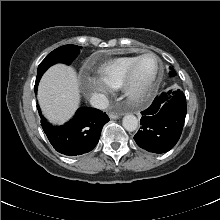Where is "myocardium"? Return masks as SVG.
I'll use <instances>...</instances> for the list:
<instances>
[{"label": "myocardium", "instance_id": "obj_1", "mask_svg": "<svg viewBox=\"0 0 220 220\" xmlns=\"http://www.w3.org/2000/svg\"><path fill=\"white\" fill-rule=\"evenodd\" d=\"M147 56H153L156 59L157 71H156L155 75L153 76V78L150 79L146 84H144L141 87H137L135 85L136 69H137V66L140 63V61ZM161 74H162V62H161L160 57L153 52H146V53L141 54L140 56L137 57V59L130 66V68L125 76V79H124V82L122 85V90H123L124 95L132 101L142 100L143 98L146 97V95L150 92V90L158 82V80L161 77Z\"/></svg>", "mask_w": 220, "mask_h": 220}]
</instances>
